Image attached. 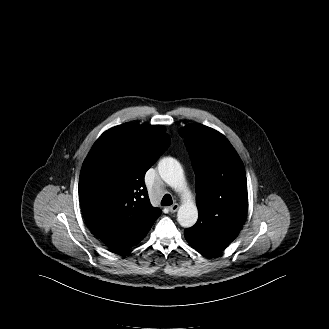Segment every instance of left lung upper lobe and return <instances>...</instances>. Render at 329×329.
I'll use <instances>...</instances> for the list:
<instances>
[{"label":"left lung upper lobe","mask_w":329,"mask_h":329,"mask_svg":"<svg viewBox=\"0 0 329 329\" xmlns=\"http://www.w3.org/2000/svg\"><path fill=\"white\" fill-rule=\"evenodd\" d=\"M196 174L197 223L187 230L210 241L227 229L240 230L248 210L245 169L237 152L218 131L190 124L180 131Z\"/></svg>","instance_id":"left-lung-upper-lobe-1"}]
</instances>
